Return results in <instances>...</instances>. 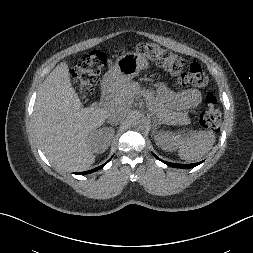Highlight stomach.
<instances>
[{
  "label": "stomach",
  "instance_id": "obj_1",
  "mask_svg": "<svg viewBox=\"0 0 253 253\" xmlns=\"http://www.w3.org/2000/svg\"><path fill=\"white\" fill-rule=\"evenodd\" d=\"M149 67L146 58L141 54L129 52L120 56L115 65L105 74L103 86L110 90H115L119 86L130 81L137 74Z\"/></svg>",
  "mask_w": 253,
  "mask_h": 253
}]
</instances>
